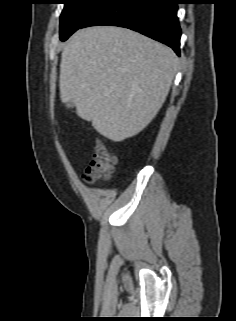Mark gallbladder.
Segmentation results:
<instances>
[{
  "instance_id": "bac80fb5",
  "label": "gallbladder",
  "mask_w": 236,
  "mask_h": 321,
  "mask_svg": "<svg viewBox=\"0 0 236 321\" xmlns=\"http://www.w3.org/2000/svg\"><path fill=\"white\" fill-rule=\"evenodd\" d=\"M65 106L67 109L73 108L74 107V103L72 101H68L65 103Z\"/></svg>"
}]
</instances>
